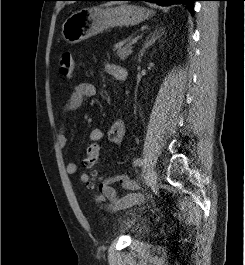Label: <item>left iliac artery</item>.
<instances>
[{"label": "left iliac artery", "instance_id": "obj_1", "mask_svg": "<svg viewBox=\"0 0 245 265\" xmlns=\"http://www.w3.org/2000/svg\"><path fill=\"white\" fill-rule=\"evenodd\" d=\"M133 164H134L135 166H140V165L143 164V161H142V159L137 158V159L134 160Z\"/></svg>", "mask_w": 245, "mask_h": 265}]
</instances>
